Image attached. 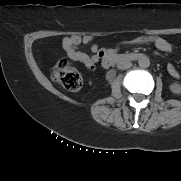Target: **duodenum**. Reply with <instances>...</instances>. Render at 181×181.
<instances>
[{
  "mask_svg": "<svg viewBox=\"0 0 181 181\" xmlns=\"http://www.w3.org/2000/svg\"><path fill=\"white\" fill-rule=\"evenodd\" d=\"M142 57L140 53H124V54H105L103 56V65L106 68L113 67L117 64H124L127 62L138 60ZM114 76L113 71L108 73V77L112 78Z\"/></svg>",
  "mask_w": 181,
  "mask_h": 181,
  "instance_id": "410a0bca",
  "label": "duodenum"
}]
</instances>
